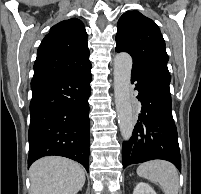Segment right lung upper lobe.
<instances>
[{"label":"right lung upper lobe","instance_id":"1","mask_svg":"<svg viewBox=\"0 0 201 194\" xmlns=\"http://www.w3.org/2000/svg\"><path fill=\"white\" fill-rule=\"evenodd\" d=\"M91 68L84 24L73 18L54 25L42 40L34 77L71 76Z\"/></svg>","mask_w":201,"mask_h":194}]
</instances>
